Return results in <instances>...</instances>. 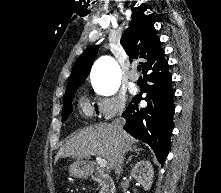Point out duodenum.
I'll list each match as a JSON object with an SVG mask.
<instances>
[{
  "label": "duodenum",
  "instance_id": "410a0bca",
  "mask_svg": "<svg viewBox=\"0 0 221 193\" xmlns=\"http://www.w3.org/2000/svg\"><path fill=\"white\" fill-rule=\"evenodd\" d=\"M81 168L86 171L87 175L91 179L98 181L101 184L104 193H115V185L113 179L96 164L85 163L81 165Z\"/></svg>",
  "mask_w": 221,
  "mask_h": 193
}]
</instances>
